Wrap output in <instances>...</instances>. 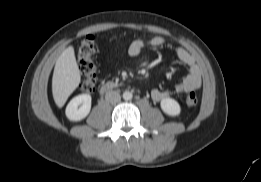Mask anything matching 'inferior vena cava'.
<instances>
[{
	"mask_svg": "<svg viewBox=\"0 0 261 182\" xmlns=\"http://www.w3.org/2000/svg\"><path fill=\"white\" fill-rule=\"evenodd\" d=\"M105 99L111 104H116L121 100V96L117 91H108L105 94Z\"/></svg>",
	"mask_w": 261,
	"mask_h": 182,
	"instance_id": "obj_1",
	"label": "inferior vena cava"
}]
</instances>
